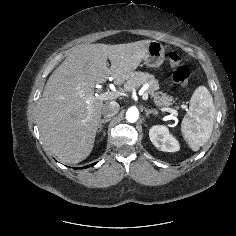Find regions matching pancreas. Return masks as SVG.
<instances>
[{
    "label": "pancreas",
    "mask_w": 236,
    "mask_h": 236,
    "mask_svg": "<svg viewBox=\"0 0 236 236\" xmlns=\"http://www.w3.org/2000/svg\"><path fill=\"white\" fill-rule=\"evenodd\" d=\"M145 83L149 84L146 93L149 94L156 106H169L172 104L173 98L167 94L158 91L159 83L154 75L146 72H133L124 85L125 91H131L134 87H139Z\"/></svg>",
    "instance_id": "cf45deb5"
}]
</instances>
